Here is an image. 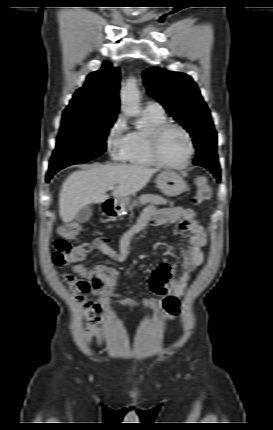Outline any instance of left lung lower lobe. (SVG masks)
Wrapping results in <instances>:
<instances>
[{
  "label": "left lung lower lobe",
  "instance_id": "0a47b994",
  "mask_svg": "<svg viewBox=\"0 0 273 430\" xmlns=\"http://www.w3.org/2000/svg\"><path fill=\"white\" fill-rule=\"evenodd\" d=\"M195 165L203 166L210 170L217 180L221 179L220 177V167L218 164V157L216 153L214 154H204L194 160Z\"/></svg>",
  "mask_w": 273,
  "mask_h": 430
}]
</instances>
